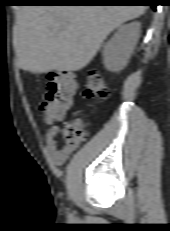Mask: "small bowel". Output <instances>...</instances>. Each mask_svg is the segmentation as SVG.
<instances>
[{"label": "small bowel", "mask_w": 170, "mask_h": 231, "mask_svg": "<svg viewBox=\"0 0 170 231\" xmlns=\"http://www.w3.org/2000/svg\"><path fill=\"white\" fill-rule=\"evenodd\" d=\"M60 132L61 128L59 126H52L47 130L45 135V143L48 157L56 165L63 164L74 150L67 147L66 145L60 146L58 144L57 136Z\"/></svg>", "instance_id": "small-bowel-1"}]
</instances>
